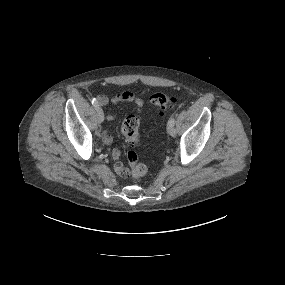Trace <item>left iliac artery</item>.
<instances>
[{"label": "left iliac artery", "mask_w": 285, "mask_h": 285, "mask_svg": "<svg viewBox=\"0 0 285 285\" xmlns=\"http://www.w3.org/2000/svg\"><path fill=\"white\" fill-rule=\"evenodd\" d=\"M168 124L174 125L175 124V119L174 118H170L168 121Z\"/></svg>", "instance_id": "1"}]
</instances>
